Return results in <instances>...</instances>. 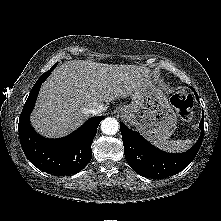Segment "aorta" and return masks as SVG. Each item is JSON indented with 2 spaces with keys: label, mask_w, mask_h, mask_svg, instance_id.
<instances>
[{
  "label": "aorta",
  "mask_w": 221,
  "mask_h": 221,
  "mask_svg": "<svg viewBox=\"0 0 221 221\" xmlns=\"http://www.w3.org/2000/svg\"><path fill=\"white\" fill-rule=\"evenodd\" d=\"M101 130L106 135H115L119 130V123L115 118L107 117L101 122Z\"/></svg>",
  "instance_id": "aorta-1"
}]
</instances>
